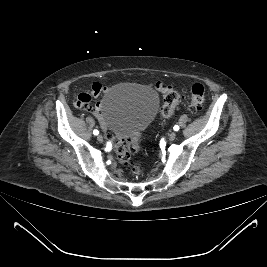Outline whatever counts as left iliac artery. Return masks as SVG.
<instances>
[{
	"label": "left iliac artery",
	"instance_id": "left-iliac-artery-1",
	"mask_svg": "<svg viewBox=\"0 0 267 267\" xmlns=\"http://www.w3.org/2000/svg\"><path fill=\"white\" fill-rule=\"evenodd\" d=\"M173 129H174L175 131H178V130H179V126H178V125H175V126L173 127Z\"/></svg>",
	"mask_w": 267,
	"mask_h": 267
}]
</instances>
